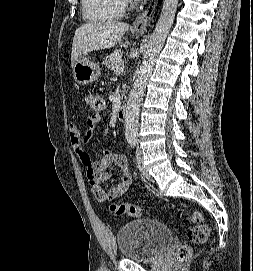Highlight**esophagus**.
<instances>
[{"instance_id":"34e87169","label":"esophagus","mask_w":253,"mask_h":271,"mask_svg":"<svg viewBox=\"0 0 253 271\" xmlns=\"http://www.w3.org/2000/svg\"><path fill=\"white\" fill-rule=\"evenodd\" d=\"M158 0H151L147 8L136 18L133 23V30L138 33H144L149 26L157 7Z\"/></svg>"}]
</instances>
